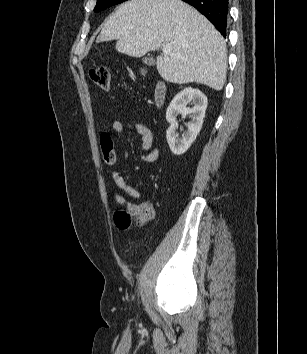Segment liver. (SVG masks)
I'll return each mask as SVG.
<instances>
[{
	"mask_svg": "<svg viewBox=\"0 0 307 354\" xmlns=\"http://www.w3.org/2000/svg\"><path fill=\"white\" fill-rule=\"evenodd\" d=\"M117 40L120 53L142 57L165 45L175 55L157 57V70L171 83L196 82L221 90L226 79V44L216 28L181 0H130L119 6L97 42Z\"/></svg>",
	"mask_w": 307,
	"mask_h": 354,
	"instance_id": "1",
	"label": "liver"
}]
</instances>
